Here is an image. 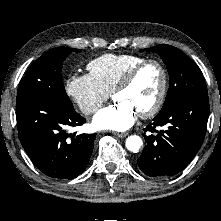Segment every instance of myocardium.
Segmentation results:
<instances>
[{
    "mask_svg": "<svg viewBox=\"0 0 221 221\" xmlns=\"http://www.w3.org/2000/svg\"><path fill=\"white\" fill-rule=\"evenodd\" d=\"M149 65H155L159 68L161 72V86L154 104L148 110L138 114V116L142 119H147L155 116L164 104L168 89V72L165 65L159 60L147 59L133 67L130 71H128V73L121 79V81L113 90L114 97L118 92L127 89L135 81L139 73Z\"/></svg>",
    "mask_w": 221,
    "mask_h": 221,
    "instance_id": "obj_1",
    "label": "myocardium"
}]
</instances>
